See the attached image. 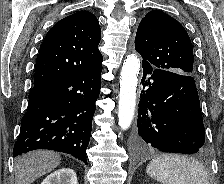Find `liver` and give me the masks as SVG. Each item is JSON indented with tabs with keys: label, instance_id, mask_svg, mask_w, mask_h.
<instances>
[{
	"label": "liver",
	"instance_id": "liver-1",
	"mask_svg": "<svg viewBox=\"0 0 224 184\" xmlns=\"http://www.w3.org/2000/svg\"><path fill=\"white\" fill-rule=\"evenodd\" d=\"M61 157L47 150L32 151L20 157L15 165V184H31L58 167Z\"/></svg>",
	"mask_w": 224,
	"mask_h": 184
}]
</instances>
